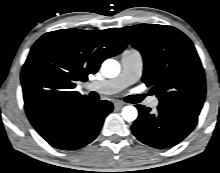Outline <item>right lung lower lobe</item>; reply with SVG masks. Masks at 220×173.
Listing matches in <instances>:
<instances>
[{"mask_svg":"<svg viewBox=\"0 0 220 173\" xmlns=\"http://www.w3.org/2000/svg\"><path fill=\"white\" fill-rule=\"evenodd\" d=\"M109 101L92 102L86 96L70 97L29 118L36 131L53 147L76 150L92 142L112 111Z\"/></svg>","mask_w":220,"mask_h":173,"instance_id":"obj_1","label":"right lung lower lobe"}]
</instances>
